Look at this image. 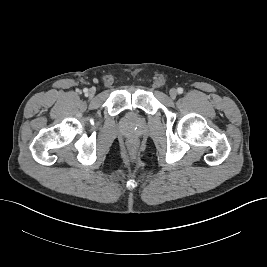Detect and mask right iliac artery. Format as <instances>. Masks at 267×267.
<instances>
[{"mask_svg":"<svg viewBox=\"0 0 267 267\" xmlns=\"http://www.w3.org/2000/svg\"><path fill=\"white\" fill-rule=\"evenodd\" d=\"M83 91H84V93H87V92H88V89H87V88H85Z\"/></svg>","mask_w":267,"mask_h":267,"instance_id":"1","label":"right iliac artery"}]
</instances>
